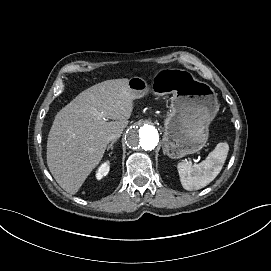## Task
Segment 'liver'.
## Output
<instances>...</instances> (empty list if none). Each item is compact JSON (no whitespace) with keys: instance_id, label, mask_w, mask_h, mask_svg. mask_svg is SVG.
I'll return each instance as SVG.
<instances>
[{"instance_id":"6515ba94","label":"liver","mask_w":271,"mask_h":271,"mask_svg":"<svg viewBox=\"0 0 271 271\" xmlns=\"http://www.w3.org/2000/svg\"><path fill=\"white\" fill-rule=\"evenodd\" d=\"M128 83L115 79L93 85L56 114L48 134L47 164L67 193L78 192L101 161L108 136L127 126L134 99Z\"/></svg>"}]
</instances>
